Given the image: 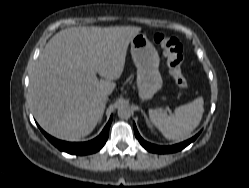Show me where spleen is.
I'll use <instances>...</instances> for the list:
<instances>
[{"instance_id": "3e777b00", "label": "spleen", "mask_w": 249, "mask_h": 188, "mask_svg": "<svg viewBox=\"0 0 249 188\" xmlns=\"http://www.w3.org/2000/svg\"><path fill=\"white\" fill-rule=\"evenodd\" d=\"M203 112V98L198 97L191 103L177 107L174 114L167 115L150 109L149 118L167 139L181 141L187 139L199 125Z\"/></svg>"}]
</instances>
